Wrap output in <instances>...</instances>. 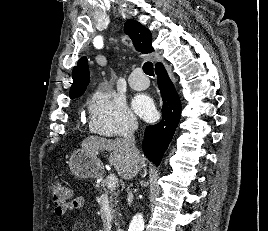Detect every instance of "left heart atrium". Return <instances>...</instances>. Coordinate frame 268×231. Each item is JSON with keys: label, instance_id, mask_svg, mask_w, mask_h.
I'll list each match as a JSON object with an SVG mask.
<instances>
[{"label": "left heart atrium", "instance_id": "39dd6f15", "mask_svg": "<svg viewBox=\"0 0 268 231\" xmlns=\"http://www.w3.org/2000/svg\"><path fill=\"white\" fill-rule=\"evenodd\" d=\"M132 107L137 115L147 121L154 120L156 117V108L154 102L147 95L140 94L134 97Z\"/></svg>", "mask_w": 268, "mask_h": 231}]
</instances>
